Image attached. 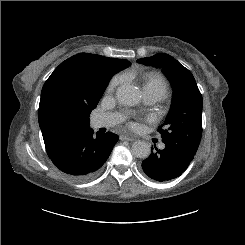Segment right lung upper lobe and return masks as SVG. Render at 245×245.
<instances>
[{
  "label": "right lung upper lobe",
  "mask_w": 245,
  "mask_h": 245,
  "mask_svg": "<svg viewBox=\"0 0 245 245\" xmlns=\"http://www.w3.org/2000/svg\"><path fill=\"white\" fill-rule=\"evenodd\" d=\"M103 65L117 73L127 68L130 62L79 53L62 62L45 82L38 120L48 156L70 138L89 128V114L97 106L112 77L99 76L98 69ZM58 101L66 106V115L57 112Z\"/></svg>",
  "instance_id": "obj_1"
}]
</instances>
